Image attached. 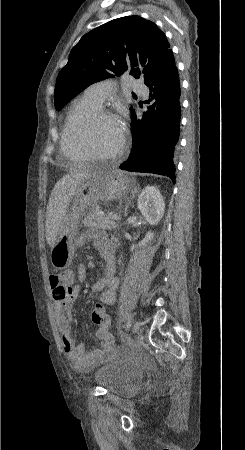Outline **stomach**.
<instances>
[{"label": "stomach", "instance_id": "obj_1", "mask_svg": "<svg viewBox=\"0 0 245 450\" xmlns=\"http://www.w3.org/2000/svg\"><path fill=\"white\" fill-rule=\"evenodd\" d=\"M130 185L131 180L126 175L112 170H99L78 185L51 248L50 259L54 268L62 270L71 265L75 252L74 238L86 209L99 201L121 198Z\"/></svg>", "mask_w": 245, "mask_h": 450}]
</instances>
